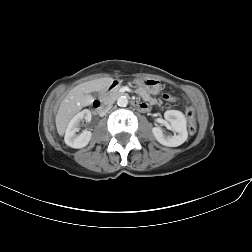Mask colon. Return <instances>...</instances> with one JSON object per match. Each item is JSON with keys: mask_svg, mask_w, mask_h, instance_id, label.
<instances>
[{"mask_svg": "<svg viewBox=\"0 0 252 252\" xmlns=\"http://www.w3.org/2000/svg\"><path fill=\"white\" fill-rule=\"evenodd\" d=\"M165 100L168 101H175V97L169 94H165L164 96ZM187 116L189 119V131L190 133H195L196 131V109L193 106H189L187 108Z\"/></svg>", "mask_w": 252, "mask_h": 252, "instance_id": "5ec220e1", "label": "colon"}]
</instances>
